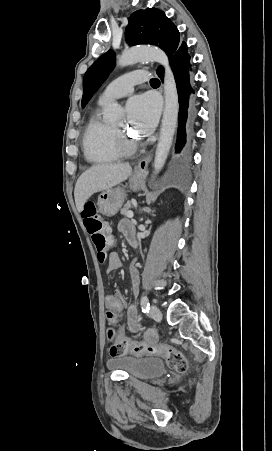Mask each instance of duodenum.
I'll return each instance as SVG.
<instances>
[{
    "label": "duodenum",
    "instance_id": "duodenum-1",
    "mask_svg": "<svg viewBox=\"0 0 272 451\" xmlns=\"http://www.w3.org/2000/svg\"><path fill=\"white\" fill-rule=\"evenodd\" d=\"M130 243H131L132 246H137V240H136V238H132V239L130 240Z\"/></svg>",
    "mask_w": 272,
    "mask_h": 451
}]
</instances>
